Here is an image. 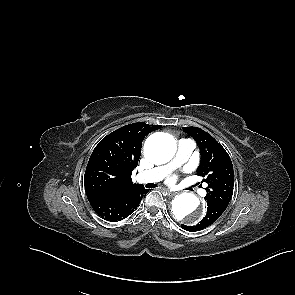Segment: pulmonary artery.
<instances>
[{
	"instance_id": "e3ab8cb5",
	"label": "pulmonary artery",
	"mask_w": 295,
	"mask_h": 295,
	"mask_svg": "<svg viewBox=\"0 0 295 295\" xmlns=\"http://www.w3.org/2000/svg\"><path fill=\"white\" fill-rule=\"evenodd\" d=\"M195 148V143L191 139H181L178 142L177 153L174 159L163 166L155 167L151 170L140 173L137 176L139 182L152 183L161 181L165 178L172 170L179 167L181 164L186 162L190 157L192 151ZM206 194L205 190L200 191V195L204 196Z\"/></svg>"
}]
</instances>
